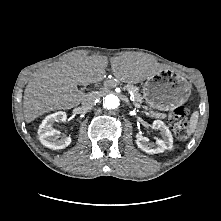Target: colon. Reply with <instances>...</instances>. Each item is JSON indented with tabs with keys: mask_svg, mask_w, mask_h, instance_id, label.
<instances>
[{
	"mask_svg": "<svg viewBox=\"0 0 221 221\" xmlns=\"http://www.w3.org/2000/svg\"><path fill=\"white\" fill-rule=\"evenodd\" d=\"M188 115L189 108L187 106H179L169 115L172 130L179 140H184L189 136Z\"/></svg>",
	"mask_w": 221,
	"mask_h": 221,
	"instance_id": "5ec220e1",
	"label": "colon"
}]
</instances>
